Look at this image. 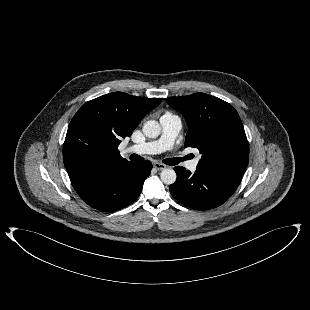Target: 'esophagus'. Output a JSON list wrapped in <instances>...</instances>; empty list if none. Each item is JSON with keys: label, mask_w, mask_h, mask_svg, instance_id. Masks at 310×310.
I'll return each mask as SVG.
<instances>
[{"label": "esophagus", "mask_w": 310, "mask_h": 310, "mask_svg": "<svg viewBox=\"0 0 310 310\" xmlns=\"http://www.w3.org/2000/svg\"><path fill=\"white\" fill-rule=\"evenodd\" d=\"M153 167H154L156 170L160 171V170H164L167 166L164 165V164H162V163L155 162V163L153 164Z\"/></svg>", "instance_id": "obj_1"}]
</instances>
